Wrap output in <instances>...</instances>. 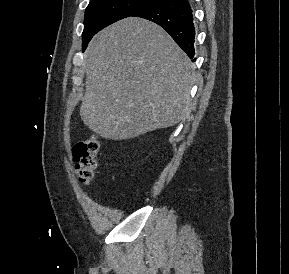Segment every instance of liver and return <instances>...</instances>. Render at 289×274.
I'll return each mask as SVG.
<instances>
[{
	"label": "liver",
	"mask_w": 289,
	"mask_h": 274,
	"mask_svg": "<svg viewBox=\"0 0 289 274\" xmlns=\"http://www.w3.org/2000/svg\"><path fill=\"white\" fill-rule=\"evenodd\" d=\"M83 66L80 116L105 139L126 140L173 126L190 113L188 56L160 26L129 17L96 34Z\"/></svg>",
	"instance_id": "liver-1"
}]
</instances>
